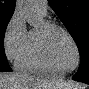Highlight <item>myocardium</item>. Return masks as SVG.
<instances>
[{
  "mask_svg": "<svg viewBox=\"0 0 89 89\" xmlns=\"http://www.w3.org/2000/svg\"><path fill=\"white\" fill-rule=\"evenodd\" d=\"M57 30L62 31L69 38V40L71 41V43L75 49V52H76V64L73 68L68 69V70H59L56 67V65L54 64V61H53V58L51 55L50 38H51L52 34ZM39 40H40L41 49L43 51L45 59L52 70L56 71L57 73H59L61 75H66V74L76 70L79 67L80 59H81L80 50H79V47H78L74 37L72 36V34L69 32V30L67 28H65L62 25L53 23V22H45L39 28Z\"/></svg>",
  "mask_w": 89,
  "mask_h": 89,
  "instance_id": "obj_1",
  "label": "myocardium"
}]
</instances>
